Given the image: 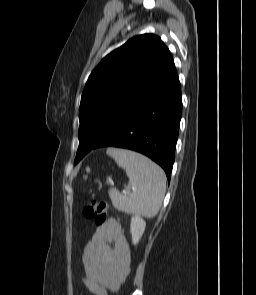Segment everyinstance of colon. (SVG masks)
Here are the masks:
<instances>
[{"label":"colon","instance_id":"1","mask_svg":"<svg viewBox=\"0 0 256 295\" xmlns=\"http://www.w3.org/2000/svg\"><path fill=\"white\" fill-rule=\"evenodd\" d=\"M82 213L85 218L93 220L96 225H102L107 220L108 207L105 202L91 199L89 204L83 208Z\"/></svg>","mask_w":256,"mask_h":295}]
</instances>
